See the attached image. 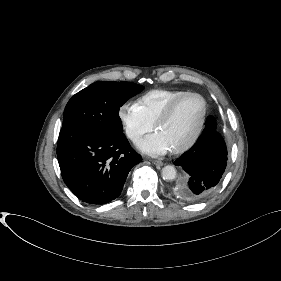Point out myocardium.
<instances>
[{"label": "myocardium", "mask_w": 281, "mask_h": 281, "mask_svg": "<svg viewBox=\"0 0 281 281\" xmlns=\"http://www.w3.org/2000/svg\"><path fill=\"white\" fill-rule=\"evenodd\" d=\"M188 97H197L200 99L201 103H202V115H201V119L199 122L198 127L196 128L193 136L183 145L174 148L171 150V152L173 154H180L183 153L187 150H189L198 140V138L200 137L202 130L204 128L205 122H206V117H207V102L205 100V98L196 92H186L184 94H182L181 96L175 98L174 100H172L163 110L162 112L158 115V117L156 118L155 122H154V130L156 131L158 129V127L165 122L170 115L172 114V112L174 111V109L177 107V105L184 99L188 98Z\"/></svg>", "instance_id": "myocardium-1"}]
</instances>
